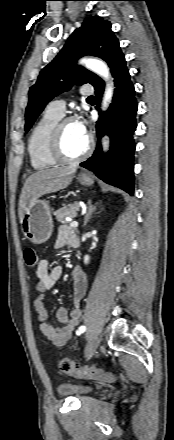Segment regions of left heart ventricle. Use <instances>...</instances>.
<instances>
[{"label":"left heart ventricle","mask_w":174,"mask_h":440,"mask_svg":"<svg viewBox=\"0 0 174 440\" xmlns=\"http://www.w3.org/2000/svg\"><path fill=\"white\" fill-rule=\"evenodd\" d=\"M88 137L81 135L74 122H68L63 127L62 147L68 157L80 155L87 146Z\"/></svg>","instance_id":"obj_1"}]
</instances>
